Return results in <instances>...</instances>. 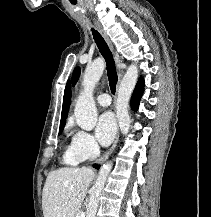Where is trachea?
Listing matches in <instances>:
<instances>
[{"mask_svg":"<svg viewBox=\"0 0 211 217\" xmlns=\"http://www.w3.org/2000/svg\"><path fill=\"white\" fill-rule=\"evenodd\" d=\"M92 34H93L95 43L97 44V47L101 55L104 57L106 61V69H107V76L109 79V86H110L112 94H115L118 77L116 73L113 55L107 43L105 42L104 38L94 29H92Z\"/></svg>","mask_w":211,"mask_h":217,"instance_id":"1","label":"trachea"}]
</instances>
